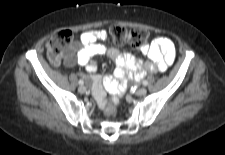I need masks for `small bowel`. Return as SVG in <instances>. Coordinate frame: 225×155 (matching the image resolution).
Wrapping results in <instances>:
<instances>
[{
    "mask_svg": "<svg viewBox=\"0 0 225 155\" xmlns=\"http://www.w3.org/2000/svg\"><path fill=\"white\" fill-rule=\"evenodd\" d=\"M107 39L108 34L105 30L83 32L79 41L73 45V53L65 60L67 66L78 63L86 68L90 74L94 97L102 109L107 104L106 92L111 93L109 99L113 105L119 107L123 103L119 95L122 94L129 80L138 81L145 76L147 71L163 72L175 59L174 44L166 37L155 38L150 44L140 46V51L149 59L147 63L137 60L129 53H122L114 47L107 48L101 43ZM98 55H107L114 60L115 78L110 75L102 78L96 73L97 64L93 58Z\"/></svg>",
    "mask_w": 225,
    "mask_h": 155,
    "instance_id": "small-bowel-1",
    "label": "small bowel"
}]
</instances>
